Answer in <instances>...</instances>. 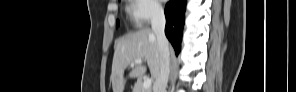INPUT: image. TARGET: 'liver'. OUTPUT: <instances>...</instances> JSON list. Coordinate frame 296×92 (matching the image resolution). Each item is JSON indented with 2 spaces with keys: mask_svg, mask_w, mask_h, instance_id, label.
I'll return each instance as SVG.
<instances>
[{
  "mask_svg": "<svg viewBox=\"0 0 296 92\" xmlns=\"http://www.w3.org/2000/svg\"><path fill=\"white\" fill-rule=\"evenodd\" d=\"M136 59H145L151 76L156 79L160 73V51L157 37L153 30L143 28L123 36L117 42L112 63V90L123 92L127 79L125 69ZM146 73V66L134 64L128 78L142 77Z\"/></svg>",
  "mask_w": 296,
  "mask_h": 92,
  "instance_id": "liver-1",
  "label": "liver"
}]
</instances>
